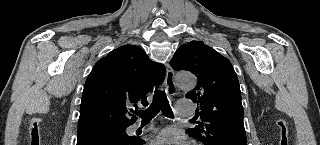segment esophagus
I'll return each mask as SVG.
<instances>
[{"instance_id": "obj_1", "label": "esophagus", "mask_w": 320, "mask_h": 145, "mask_svg": "<svg viewBox=\"0 0 320 145\" xmlns=\"http://www.w3.org/2000/svg\"><path fill=\"white\" fill-rule=\"evenodd\" d=\"M165 87H166V92L169 95H175L177 91V86L175 83V77H174V72L172 68L167 65V71H166V76H165Z\"/></svg>"}]
</instances>
